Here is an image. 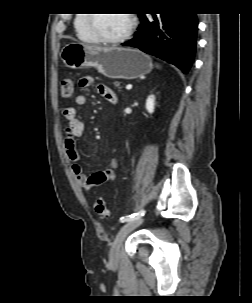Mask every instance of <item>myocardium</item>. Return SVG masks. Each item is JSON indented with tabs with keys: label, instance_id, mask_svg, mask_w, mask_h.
Instances as JSON below:
<instances>
[{
	"label": "myocardium",
	"instance_id": "f54148a6",
	"mask_svg": "<svg viewBox=\"0 0 252 303\" xmlns=\"http://www.w3.org/2000/svg\"><path fill=\"white\" fill-rule=\"evenodd\" d=\"M127 15L129 16V24H128L127 29L122 34H120L118 36H114V37H107V36H104L103 34L99 33L94 27L96 16L95 15L89 16V26L93 33V39L104 42V43H120V42L125 41L132 34V32L136 26V23H137L135 14L127 13Z\"/></svg>",
	"mask_w": 252,
	"mask_h": 303
}]
</instances>
